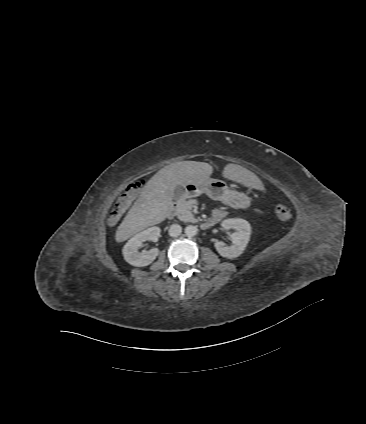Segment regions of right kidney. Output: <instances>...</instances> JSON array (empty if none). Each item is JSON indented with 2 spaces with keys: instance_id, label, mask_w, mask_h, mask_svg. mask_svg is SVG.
<instances>
[{
  "instance_id": "1",
  "label": "right kidney",
  "mask_w": 366,
  "mask_h": 424,
  "mask_svg": "<svg viewBox=\"0 0 366 424\" xmlns=\"http://www.w3.org/2000/svg\"><path fill=\"white\" fill-rule=\"evenodd\" d=\"M160 232V228L154 226L134 235L123 247L124 260L136 267H144L151 264L158 256L159 249L152 248L142 252H139L138 249L144 245V242L152 241L159 237Z\"/></svg>"
}]
</instances>
